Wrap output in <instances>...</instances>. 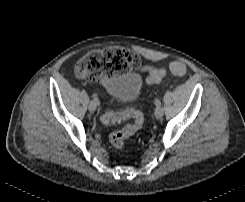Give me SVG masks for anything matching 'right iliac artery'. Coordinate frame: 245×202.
Segmentation results:
<instances>
[{"label": "right iliac artery", "instance_id": "right-iliac-artery-1", "mask_svg": "<svg viewBox=\"0 0 245 202\" xmlns=\"http://www.w3.org/2000/svg\"><path fill=\"white\" fill-rule=\"evenodd\" d=\"M93 101L96 104V106L100 105V101H99V99L97 98V96L95 94H93Z\"/></svg>", "mask_w": 245, "mask_h": 202}]
</instances>
